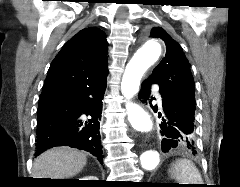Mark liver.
I'll return each instance as SVG.
<instances>
[{"instance_id":"1","label":"liver","mask_w":240,"mask_h":187,"mask_svg":"<svg viewBox=\"0 0 240 187\" xmlns=\"http://www.w3.org/2000/svg\"><path fill=\"white\" fill-rule=\"evenodd\" d=\"M87 163L86 154L70 147H55L38 156L32 167L33 178L65 179L78 174Z\"/></svg>"}]
</instances>
